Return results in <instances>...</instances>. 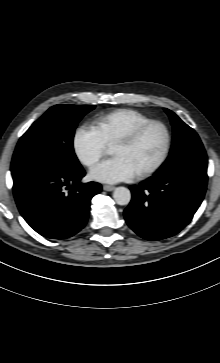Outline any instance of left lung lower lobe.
I'll list each match as a JSON object with an SVG mask.
<instances>
[{
    "label": "left lung lower lobe",
    "instance_id": "obj_1",
    "mask_svg": "<svg viewBox=\"0 0 220 363\" xmlns=\"http://www.w3.org/2000/svg\"><path fill=\"white\" fill-rule=\"evenodd\" d=\"M207 156H188L130 186L132 200L124 211L129 227L144 239L174 236L192 219L207 185Z\"/></svg>",
    "mask_w": 220,
    "mask_h": 363
}]
</instances>
